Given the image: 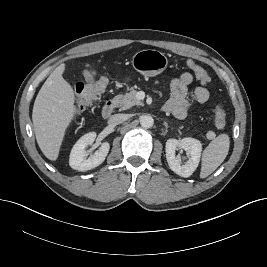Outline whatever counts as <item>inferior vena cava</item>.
I'll return each instance as SVG.
<instances>
[{
	"mask_svg": "<svg viewBox=\"0 0 267 267\" xmlns=\"http://www.w3.org/2000/svg\"><path fill=\"white\" fill-rule=\"evenodd\" d=\"M126 120L127 116L125 114H114L109 118L108 124L111 126H116L118 124L123 123Z\"/></svg>",
	"mask_w": 267,
	"mask_h": 267,
	"instance_id": "obj_1",
	"label": "inferior vena cava"
}]
</instances>
